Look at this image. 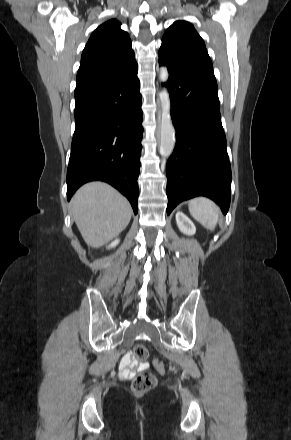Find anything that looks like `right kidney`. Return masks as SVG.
I'll return each mask as SVG.
<instances>
[{"label": "right kidney", "mask_w": 291, "mask_h": 440, "mask_svg": "<svg viewBox=\"0 0 291 440\" xmlns=\"http://www.w3.org/2000/svg\"><path fill=\"white\" fill-rule=\"evenodd\" d=\"M119 243V239H115L109 246L108 248H113L115 247L117 244Z\"/></svg>", "instance_id": "obj_1"}]
</instances>
